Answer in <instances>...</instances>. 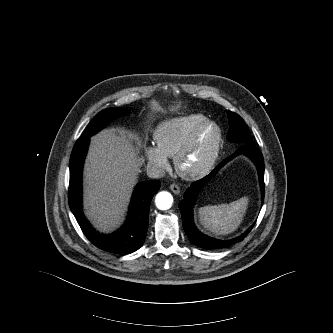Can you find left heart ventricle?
I'll return each mask as SVG.
<instances>
[{
	"label": "left heart ventricle",
	"instance_id": "1",
	"mask_svg": "<svg viewBox=\"0 0 333 333\" xmlns=\"http://www.w3.org/2000/svg\"><path fill=\"white\" fill-rule=\"evenodd\" d=\"M215 135L216 131L214 127H210L203 132L196 148L194 149L186 163L187 168L191 169L202 163V161L207 156L209 150L211 149V146L215 139Z\"/></svg>",
	"mask_w": 333,
	"mask_h": 333
}]
</instances>
